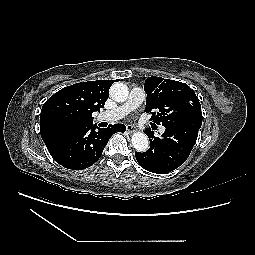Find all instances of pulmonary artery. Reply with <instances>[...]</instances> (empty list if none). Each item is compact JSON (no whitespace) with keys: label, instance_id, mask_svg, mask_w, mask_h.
Segmentation results:
<instances>
[{"label":"pulmonary artery","instance_id":"obj_1","mask_svg":"<svg viewBox=\"0 0 255 255\" xmlns=\"http://www.w3.org/2000/svg\"><path fill=\"white\" fill-rule=\"evenodd\" d=\"M145 98L146 94L144 90L140 87H135L130 91L129 97L123 105L113 110L102 112L99 115V120L104 122L117 121L139 107ZM160 131L163 132L164 127H160Z\"/></svg>","mask_w":255,"mask_h":255}]
</instances>
